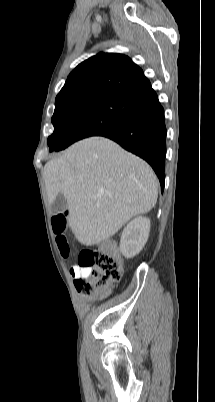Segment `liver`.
Listing matches in <instances>:
<instances>
[{
    "label": "liver",
    "instance_id": "1",
    "mask_svg": "<svg viewBox=\"0 0 215 402\" xmlns=\"http://www.w3.org/2000/svg\"><path fill=\"white\" fill-rule=\"evenodd\" d=\"M43 176L48 203L63 194L68 225L86 246L109 239L132 217L149 212L158 196L152 168L103 137L73 144L45 164Z\"/></svg>",
    "mask_w": 215,
    "mask_h": 402
}]
</instances>
